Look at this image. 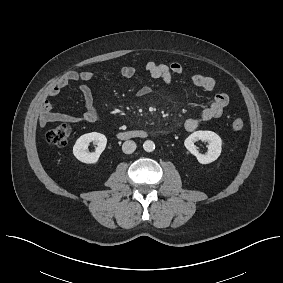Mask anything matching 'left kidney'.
Masks as SVG:
<instances>
[{
	"instance_id": "obj_1",
	"label": "left kidney",
	"mask_w": 283,
	"mask_h": 283,
	"mask_svg": "<svg viewBox=\"0 0 283 283\" xmlns=\"http://www.w3.org/2000/svg\"><path fill=\"white\" fill-rule=\"evenodd\" d=\"M197 140L208 142L207 154H200L197 151L194 144ZM184 145L190 153L197 157L198 162L201 164H209L215 161L220 156L222 150V140L220 136L212 131H196L185 139Z\"/></svg>"
}]
</instances>
